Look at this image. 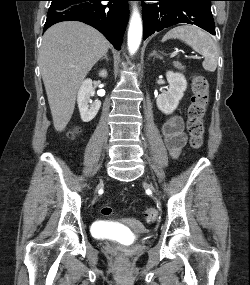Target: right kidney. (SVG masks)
<instances>
[{"label":"right kidney","mask_w":250,"mask_h":285,"mask_svg":"<svg viewBox=\"0 0 250 285\" xmlns=\"http://www.w3.org/2000/svg\"><path fill=\"white\" fill-rule=\"evenodd\" d=\"M99 75L101 77H106L107 71L102 70L99 73ZM94 94H95V91L92 86V80L91 79L84 80L81 84V87L78 92V97H77V103H78L81 119L83 122H89L92 119H94L101 107V101L99 100H95V102L89 106L90 97L94 96Z\"/></svg>","instance_id":"obj_1"}]
</instances>
